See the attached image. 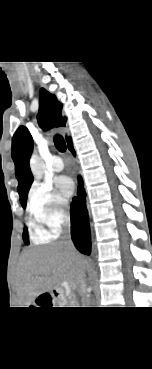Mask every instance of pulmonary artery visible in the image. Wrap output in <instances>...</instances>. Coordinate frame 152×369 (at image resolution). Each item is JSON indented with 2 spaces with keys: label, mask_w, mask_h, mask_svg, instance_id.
I'll return each mask as SVG.
<instances>
[{
  "label": "pulmonary artery",
  "mask_w": 152,
  "mask_h": 369,
  "mask_svg": "<svg viewBox=\"0 0 152 369\" xmlns=\"http://www.w3.org/2000/svg\"><path fill=\"white\" fill-rule=\"evenodd\" d=\"M51 166L54 171L60 172L64 169V163L60 156L54 155L51 159Z\"/></svg>",
  "instance_id": "e3ab8cb5"
}]
</instances>
